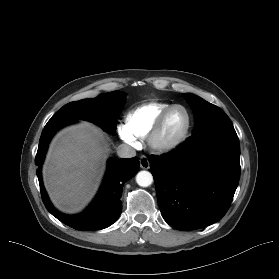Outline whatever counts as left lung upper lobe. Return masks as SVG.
<instances>
[{
    "instance_id": "left-lung-upper-lobe-1",
    "label": "left lung upper lobe",
    "mask_w": 279,
    "mask_h": 279,
    "mask_svg": "<svg viewBox=\"0 0 279 279\" xmlns=\"http://www.w3.org/2000/svg\"><path fill=\"white\" fill-rule=\"evenodd\" d=\"M185 98L195 118L192 134L218 128L234 129L231 120L221 108L193 94H185Z\"/></svg>"
}]
</instances>
